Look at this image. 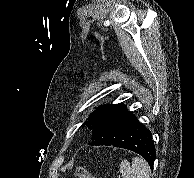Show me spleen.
I'll list each match as a JSON object with an SVG mask.
<instances>
[{
    "mask_svg": "<svg viewBox=\"0 0 194 178\" xmlns=\"http://www.w3.org/2000/svg\"><path fill=\"white\" fill-rule=\"evenodd\" d=\"M120 173L123 178H150L148 163L141 157H134L132 164L123 160L120 164Z\"/></svg>",
    "mask_w": 194,
    "mask_h": 178,
    "instance_id": "obj_1",
    "label": "spleen"
}]
</instances>
